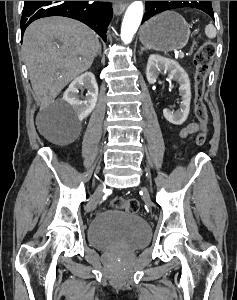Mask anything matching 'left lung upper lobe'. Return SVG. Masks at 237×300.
Listing matches in <instances>:
<instances>
[{"label": "left lung upper lobe", "mask_w": 237, "mask_h": 300, "mask_svg": "<svg viewBox=\"0 0 237 300\" xmlns=\"http://www.w3.org/2000/svg\"><path fill=\"white\" fill-rule=\"evenodd\" d=\"M209 1H146V12L142 23L152 16L175 8L192 7L205 12Z\"/></svg>", "instance_id": "left-lung-upper-lobe-1"}]
</instances>
